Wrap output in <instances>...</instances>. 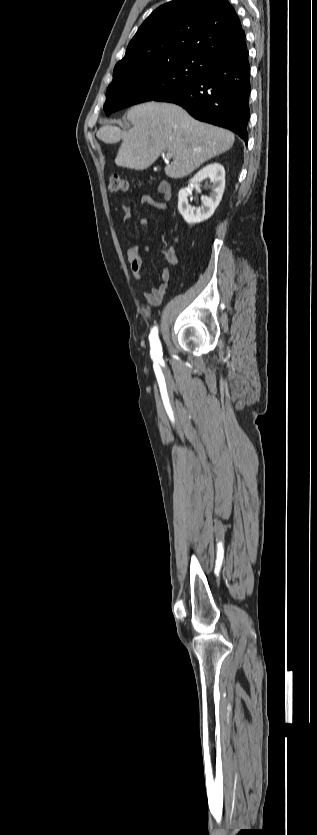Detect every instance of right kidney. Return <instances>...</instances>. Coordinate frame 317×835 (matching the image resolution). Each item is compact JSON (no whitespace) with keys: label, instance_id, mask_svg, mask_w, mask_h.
<instances>
[{"label":"right kidney","instance_id":"obj_1","mask_svg":"<svg viewBox=\"0 0 317 835\" xmlns=\"http://www.w3.org/2000/svg\"><path fill=\"white\" fill-rule=\"evenodd\" d=\"M210 178L212 186L209 196H202L201 207L195 208L188 203V193L181 189L178 194V210L184 220L189 223H200L209 219L218 207L225 189V170L219 163H210L197 172L189 180L191 186H198L199 182Z\"/></svg>","mask_w":317,"mask_h":835}]
</instances>
